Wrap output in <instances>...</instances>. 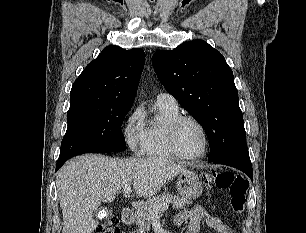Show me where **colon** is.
Segmentation results:
<instances>
[{"mask_svg": "<svg viewBox=\"0 0 306 233\" xmlns=\"http://www.w3.org/2000/svg\"><path fill=\"white\" fill-rule=\"evenodd\" d=\"M204 184L208 187L227 188L230 192V206L236 213H242L246 206L249 181L231 171L217 172L208 170L203 174ZM95 233H120L116 217L106 219Z\"/></svg>", "mask_w": 306, "mask_h": 233, "instance_id": "5ec220e1", "label": "colon"}]
</instances>
